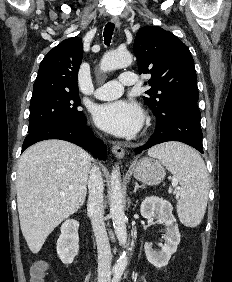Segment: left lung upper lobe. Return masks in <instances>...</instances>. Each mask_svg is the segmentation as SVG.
<instances>
[{
    "label": "left lung upper lobe",
    "instance_id": "1",
    "mask_svg": "<svg viewBox=\"0 0 232 282\" xmlns=\"http://www.w3.org/2000/svg\"><path fill=\"white\" fill-rule=\"evenodd\" d=\"M133 51L139 73H150L152 88L143 97L153 113H160L171 103L199 98L194 60L187 46L171 32L158 26L141 28Z\"/></svg>",
    "mask_w": 232,
    "mask_h": 282
}]
</instances>
